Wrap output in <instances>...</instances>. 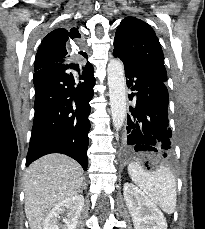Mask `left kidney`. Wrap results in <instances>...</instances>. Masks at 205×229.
<instances>
[{
    "label": "left kidney",
    "instance_id": "5707ae66",
    "mask_svg": "<svg viewBox=\"0 0 205 229\" xmlns=\"http://www.w3.org/2000/svg\"><path fill=\"white\" fill-rule=\"evenodd\" d=\"M123 195L135 229H167L161 210L138 187L126 182Z\"/></svg>",
    "mask_w": 205,
    "mask_h": 229
}]
</instances>
